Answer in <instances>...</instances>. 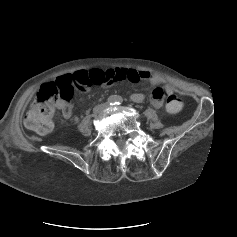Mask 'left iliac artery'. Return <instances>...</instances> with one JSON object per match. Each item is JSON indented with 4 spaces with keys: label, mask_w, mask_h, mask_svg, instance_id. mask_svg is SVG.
<instances>
[{
    "label": "left iliac artery",
    "mask_w": 237,
    "mask_h": 237,
    "mask_svg": "<svg viewBox=\"0 0 237 237\" xmlns=\"http://www.w3.org/2000/svg\"><path fill=\"white\" fill-rule=\"evenodd\" d=\"M123 102V99L122 97H117V101H116V104H121Z\"/></svg>",
    "instance_id": "left-iliac-artery-1"
}]
</instances>
